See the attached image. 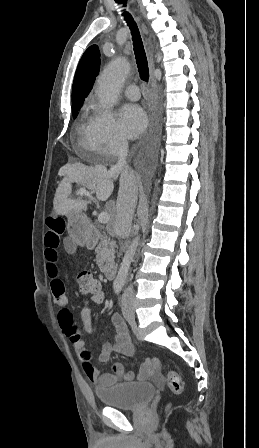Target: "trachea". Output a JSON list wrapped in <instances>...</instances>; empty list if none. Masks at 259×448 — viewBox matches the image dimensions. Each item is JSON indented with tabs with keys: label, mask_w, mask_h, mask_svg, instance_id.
<instances>
[{
	"label": "trachea",
	"mask_w": 259,
	"mask_h": 448,
	"mask_svg": "<svg viewBox=\"0 0 259 448\" xmlns=\"http://www.w3.org/2000/svg\"><path fill=\"white\" fill-rule=\"evenodd\" d=\"M126 1L127 0H116V2H118V3L123 2L124 5L126 4ZM124 15H125V19L128 22V25L130 27V30H131L135 58H136V63H137L138 71L140 74V78L144 82H148L149 68H148V62H147L146 53H145V49L143 46L140 32L138 30L136 23L131 18V16L128 15L127 13H124Z\"/></svg>",
	"instance_id": "obj_1"
}]
</instances>
